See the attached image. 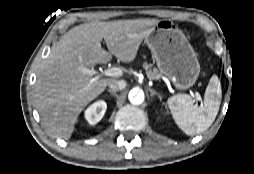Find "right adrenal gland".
<instances>
[{"label": "right adrenal gland", "mask_w": 254, "mask_h": 174, "mask_svg": "<svg viewBox=\"0 0 254 174\" xmlns=\"http://www.w3.org/2000/svg\"><path fill=\"white\" fill-rule=\"evenodd\" d=\"M108 92L110 93V95H115V94H116L115 91H112V90H110V89H108Z\"/></svg>", "instance_id": "obj_1"}]
</instances>
